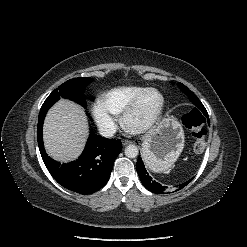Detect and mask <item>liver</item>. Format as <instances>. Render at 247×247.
I'll return each instance as SVG.
<instances>
[{"mask_svg":"<svg viewBox=\"0 0 247 247\" xmlns=\"http://www.w3.org/2000/svg\"><path fill=\"white\" fill-rule=\"evenodd\" d=\"M88 135L86 116L79 105L62 99L48 112L43 136L47 153L55 160L69 162L83 150Z\"/></svg>","mask_w":247,"mask_h":247,"instance_id":"6515ba94","label":"liver"}]
</instances>
